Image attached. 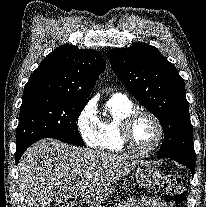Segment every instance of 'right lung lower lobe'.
Here are the masks:
<instances>
[{
  "label": "right lung lower lobe",
  "mask_w": 206,
  "mask_h": 207,
  "mask_svg": "<svg viewBox=\"0 0 206 207\" xmlns=\"http://www.w3.org/2000/svg\"><path fill=\"white\" fill-rule=\"evenodd\" d=\"M26 149H22V150H16V153H15V161H16V164H18L22 154L24 153Z\"/></svg>",
  "instance_id": "1"
}]
</instances>
